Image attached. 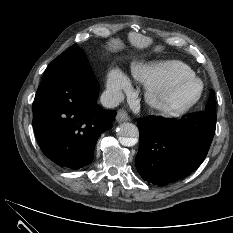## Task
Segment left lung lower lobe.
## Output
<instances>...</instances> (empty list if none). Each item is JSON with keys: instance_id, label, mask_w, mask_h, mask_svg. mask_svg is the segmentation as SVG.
<instances>
[{"instance_id": "1", "label": "left lung lower lobe", "mask_w": 233, "mask_h": 233, "mask_svg": "<svg viewBox=\"0 0 233 233\" xmlns=\"http://www.w3.org/2000/svg\"><path fill=\"white\" fill-rule=\"evenodd\" d=\"M136 168L141 177L164 186L189 175L204 161L216 128V114L190 115L182 121L158 116L139 119Z\"/></svg>"}]
</instances>
